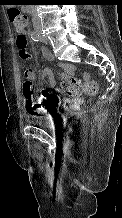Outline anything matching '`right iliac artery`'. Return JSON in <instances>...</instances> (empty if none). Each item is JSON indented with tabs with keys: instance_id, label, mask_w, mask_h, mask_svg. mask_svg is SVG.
<instances>
[{
	"instance_id": "obj_1",
	"label": "right iliac artery",
	"mask_w": 122,
	"mask_h": 218,
	"mask_svg": "<svg viewBox=\"0 0 122 218\" xmlns=\"http://www.w3.org/2000/svg\"><path fill=\"white\" fill-rule=\"evenodd\" d=\"M31 38L36 42H38L40 40V36L36 32L31 33Z\"/></svg>"
}]
</instances>
